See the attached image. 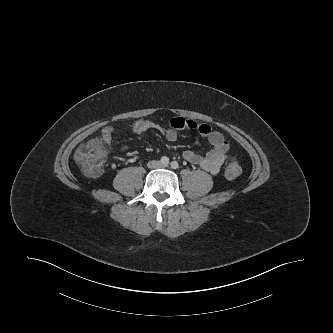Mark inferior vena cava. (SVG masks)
<instances>
[{
  "label": "inferior vena cava",
  "instance_id": "inferior-vena-cava-1",
  "mask_svg": "<svg viewBox=\"0 0 333 333\" xmlns=\"http://www.w3.org/2000/svg\"><path fill=\"white\" fill-rule=\"evenodd\" d=\"M159 166V163L157 161H150L148 163L149 168H157Z\"/></svg>",
  "mask_w": 333,
  "mask_h": 333
}]
</instances>
